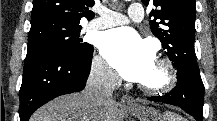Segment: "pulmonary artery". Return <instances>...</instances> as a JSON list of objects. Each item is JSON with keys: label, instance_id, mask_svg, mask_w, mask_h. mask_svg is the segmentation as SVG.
Masks as SVG:
<instances>
[{"label": "pulmonary artery", "instance_id": "1", "mask_svg": "<svg viewBox=\"0 0 217 121\" xmlns=\"http://www.w3.org/2000/svg\"><path fill=\"white\" fill-rule=\"evenodd\" d=\"M144 16V9L138 3L132 4L127 15L114 12L110 9H103L99 12V17L88 23V28L93 30H101L109 27L125 24L129 21L139 22Z\"/></svg>", "mask_w": 217, "mask_h": 121}]
</instances>
